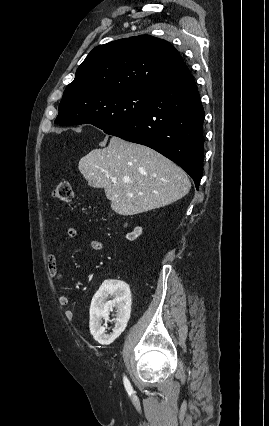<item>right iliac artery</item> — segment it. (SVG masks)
Masks as SVG:
<instances>
[{"label":"right iliac artery","mask_w":269,"mask_h":426,"mask_svg":"<svg viewBox=\"0 0 269 426\" xmlns=\"http://www.w3.org/2000/svg\"><path fill=\"white\" fill-rule=\"evenodd\" d=\"M123 381H124V386H125V388H126V390H127V392L128 393H131L133 390H132V386H131V384H130V382H129V380L127 379V377L126 376H124L123 377Z\"/></svg>","instance_id":"obj_1"}]
</instances>
